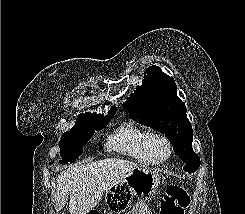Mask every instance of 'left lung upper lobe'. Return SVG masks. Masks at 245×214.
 I'll list each match as a JSON object with an SVG mask.
<instances>
[{
  "label": "left lung upper lobe",
  "mask_w": 245,
  "mask_h": 214,
  "mask_svg": "<svg viewBox=\"0 0 245 214\" xmlns=\"http://www.w3.org/2000/svg\"><path fill=\"white\" fill-rule=\"evenodd\" d=\"M146 73L142 85L123 106L138 123L163 133L173 144L175 153L185 162L183 170L191 174L199 168L200 158L192 148L193 131L185 103L178 98L172 77L155 65Z\"/></svg>",
  "instance_id": "1"
}]
</instances>
